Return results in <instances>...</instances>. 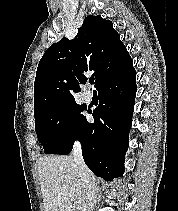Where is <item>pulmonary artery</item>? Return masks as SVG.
<instances>
[{"label":"pulmonary artery","instance_id":"1","mask_svg":"<svg viewBox=\"0 0 178 211\" xmlns=\"http://www.w3.org/2000/svg\"><path fill=\"white\" fill-rule=\"evenodd\" d=\"M83 96L86 102H90L93 98L92 92L88 89L84 91Z\"/></svg>","mask_w":178,"mask_h":211}]
</instances>
